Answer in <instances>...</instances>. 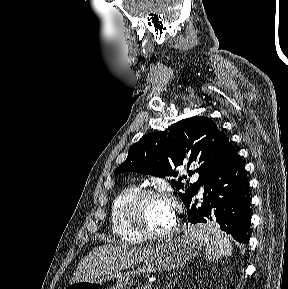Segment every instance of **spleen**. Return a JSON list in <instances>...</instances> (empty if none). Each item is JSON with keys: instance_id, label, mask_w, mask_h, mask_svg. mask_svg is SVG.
Here are the masks:
<instances>
[{"instance_id": "1", "label": "spleen", "mask_w": 288, "mask_h": 289, "mask_svg": "<svg viewBox=\"0 0 288 289\" xmlns=\"http://www.w3.org/2000/svg\"><path fill=\"white\" fill-rule=\"evenodd\" d=\"M188 230L205 246V255L209 261L231 256L232 244L227 235L218 226L211 223L197 224Z\"/></svg>"}]
</instances>
